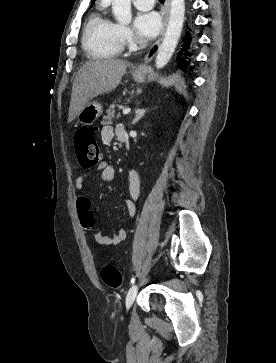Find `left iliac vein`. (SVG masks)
<instances>
[{
  "instance_id": "4c4485c4",
  "label": "left iliac vein",
  "mask_w": 276,
  "mask_h": 363,
  "mask_svg": "<svg viewBox=\"0 0 276 363\" xmlns=\"http://www.w3.org/2000/svg\"><path fill=\"white\" fill-rule=\"evenodd\" d=\"M137 291H138V285L134 284L130 287L127 296H126V307L127 309H129L131 307V305L133 304L136 295H137Z\"/></svg>"
}]
</instances>
